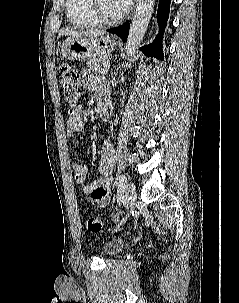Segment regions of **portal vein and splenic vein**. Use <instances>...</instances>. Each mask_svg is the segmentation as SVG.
I'll return each mask as SVG.
<instances>
[{
  "instance_id": "1",
  "label": "portal vein and splenic vein",
  "mask_w": 239,
  "mask_h": 303,
  "mask_svg": "<svg viewBox=\"0 0 239 303\" xmlns=\"http://www.w3.org/2000/svg\"><path fill=\"white\" fill-rule=\"evenodd\" d=\"M104 66H105L106 68H109V67H110V62H109V61L105 62V63H104Z\"/></svg>"
}]
</instances>
